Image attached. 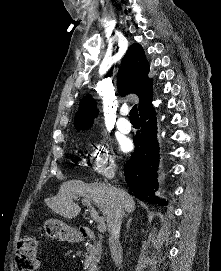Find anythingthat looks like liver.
<instances>
[{
  "mask_svg": "<svg viewBox=\"0 0 221 271\" xmlns=\"http://www.w3.org/2000/svg\"><path fill=\"white\" fill-rule=\"evenodd\" d=\"M83 195L84 199H92L95 205L99 207L106 219V227L109 229L114 217L115 205L120 199L125 211L131 213L135 209V201L125 189L114 187V185H105V183H84L80 179H71L62 183L57 195L45 199L47 205L60 213L63 217H76L81 211L78 203H75L73 197ZM124 195V197H123Z\"/></svg>",
  "mask_w": 221,
  "mask_h": 271,
  "instance_id": "liver-1",
  "label": "liver"
}]
</instances>
